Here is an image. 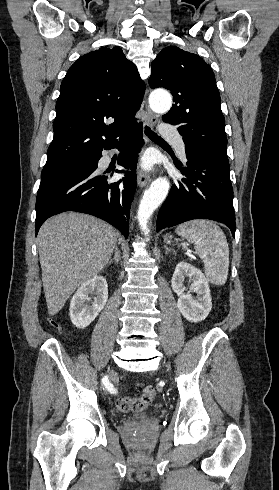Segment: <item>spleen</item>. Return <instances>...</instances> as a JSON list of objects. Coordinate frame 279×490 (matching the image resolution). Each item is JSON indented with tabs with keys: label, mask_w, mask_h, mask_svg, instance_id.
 I'll return each mask as SVG.
<instances>
[{
	"label": "spleen",
	"mask_w": 279,
	"mask_h": 490,
	"mask_svg": "<svg viewBox=\"0 0 279 490\" xmlns=\"http://www.w3.org/2000/svg\"><path fill=\"white\" fill-rule=\"evenodd\" d=\"M175 232L193 244L204 262L208 282L224 286L228 278L229 248L221 228L210 220H192L178 226Z\"/></svg>",
	"instance_id": "1"
}]
</instances>
